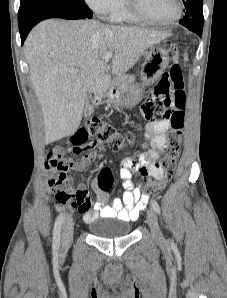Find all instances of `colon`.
<instances>
[{
	"mask_svg": "<svg viewBox=\"0 0 227 298\" xmlns=\"http://www.w3.org/2000/svg\"><path fill=\"white\" fill-rule=\"evenodd\" d=\"M179 54V47L178 45L173 46V57L174 63L170 67V80L171 87L173 88L172 92V103H145V104H155V107H159V112L157 115H145V117H158L160 122V117H168L169 123L172 128V132L168 135V148H167V156L161 162L162 167L165 169V175L160 178L157 182L150 184L146 188V194L152 195L159 192L169 180L173 165H174V158L177 154V147H178V133L177 131L180 130L184 125L185 119V104H186V94L184 91V80L182 75V70L179 64L177 63L176 59ZM157 95V92H155ZM171 104V109H166L165 105ZM162 110H171V115H162ZM153 122V123H158ZM90 138H96V140L91 142H107L108 145L117 150L121 148L124 143L131 141L130 135H122L120 134L116 128L106 122L101 121L98 118L90 119L86 125L79 128L70 138L71 146H83L84 142H88ZM113 183L112 173L108 168H103L98 177V189L100 191L107 192L110 190ZM55 186V184H52ZM56 199L62 203L67 205H75L78 204L81 199L82 195L78 192L67 190L63 188H59L55 192Z\"/></svg>",
	"mask_w": 227,
	"mask_h": 298,
	"instance_id": "1",
	"label": "colon"
}]
</instances>
